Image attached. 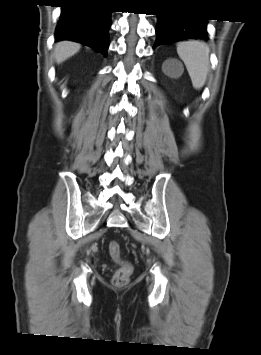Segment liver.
<instances>
[{"label": "liver", "instance_id": "liver-1", "mask_svg": "<svg viewBox=\"0 0 261 355\" xmlns=\"http://www.w3.org/2000/svg\"><path fill=\"white\" fill-rule=\"evenodd\" d=\"M81 48L78 43L70 41H62L55 45L54 58L57 64H60L67 60L69 57L76 54Z\"/></svg>", "mask_w": 261, "mask_h": 355}]
</instances>
